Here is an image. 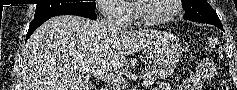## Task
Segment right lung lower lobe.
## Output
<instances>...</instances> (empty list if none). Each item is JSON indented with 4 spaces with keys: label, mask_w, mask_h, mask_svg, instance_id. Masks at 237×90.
<instances>
[{
    "label": "right lung lower lobe",
    "mask_w": 237,
    "mask_h": 90,
    "mask_svg": "<svg viewBox=\"0 0 237 90\" xmlns=\"http://www.w3.org/2000/svg\"><path fill=\"white\" fill-rule=\"evenodd\" d=\"M58 15H78L82 16L85 18H90V19H96V13L93 10H88V9H67L63 11H59L53 14H49L46 16H42L39 18H34L32 22L30 23L29 30L27 32V37L26 40L31 36V34L41 25L43 24L46 20L50 19L53 16H58Z\"/></svg>",
    "instance_id": "98d812e1"
}]
</instances>
